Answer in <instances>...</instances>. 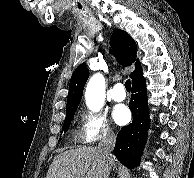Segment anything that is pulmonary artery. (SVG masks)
Listing matches in <instances>:
<instances>
[{
  "instance_id": "e3ab8cb5",
  "label": "pulmonary artery",
  "mask_w": 194,
  "mask_h": 178,
  "mask_svg": "<svg viewBox=\"0 0 194 178\" xmlns=\"http://www.w3.org/2000/svg\"><path fill=\"white\" fill-rule=\"evenodd\" d=\"M110 95H111V98L116 102L123 101L126 97V93L123 85L121 83L116 84L112 88Z\"/></svg>"
}]
</instances>
